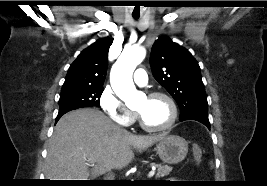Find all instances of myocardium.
Masks as SVG:
<instances>
[{"instance_id":"1","label":"myocardium","mask_w":267,"mask_h":186,"mask_svg":"<svg viewBox=\"0 0 267 186\" xmlns=\"http://www.w3.org/2000/svg\"><path fill=\"white\" fill-rule=\"evenodd\" d=\"M147 97L148 98H157V97L164 98L170 106V110H171L170 117H169V120L164 125L160 127H151V126H148L144 122L141 115L136 111L135 114H136V118L138 120L139 126L147 132H163V131L170 129L174 125L178 117V108H177V105L174 99L169 94L165 92H161V91L151 92L147 95Z\"/></svg>"}]
</instances>
